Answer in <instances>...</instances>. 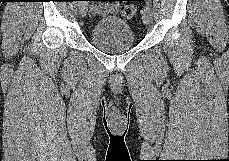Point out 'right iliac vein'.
I'll return each mask as SVG.
<instances>
[{
  "instance_id": "63e3f726",
  "label": "right iliac vein",
  "mask_w": 229,
  "mask_h": 161,
  "mask_svg": "<svg viewBox=\"0 0 229 161\" xmlns=\"http://www.w3.org/2000/svg\"><path fill=\"white\" fill-rule=\"evenodd\" d=\"M88 7L86 3L79 4V13L81 17H85L87 15Z\"/></svg>"
}]
</instances>
